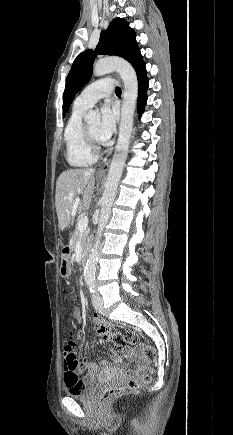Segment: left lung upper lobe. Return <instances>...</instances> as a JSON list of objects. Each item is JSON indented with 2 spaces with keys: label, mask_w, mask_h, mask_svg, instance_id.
<instances>
[{
  "label": "left lung upper lobe",
  "mask_w": 233,
  "mask_h": 435,
  "mask_svg": "<svg viewBox=\"0 0 233 435\" xmlns=\"http://www.w3.org/2000/svg\"><path fill=\"white\" fill-rule=\"evenodd\" d=\"M100 54L120 56L129 61L135 71L145 65L134 30L126 20L113 19L107 30L102 31L95 51L86 50L74 60L63 93V116L75 95L90 79L95 57Z\"/></svg>",
  "instance_id": "left-lung-upper-lobe-1"
}]
</instances>
